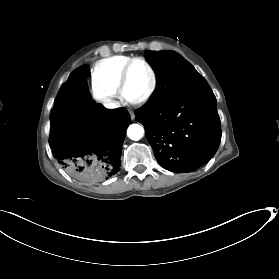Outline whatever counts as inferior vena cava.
Instances as JSON below:
<instances>
[{
  "instance_id": "1",
  "label": "inferior vena cava",
  "mask_w": 279,
  "mask_h": 279,
  "mask_svg": "<svg viewBox=\"0 0 279 279\" xmlns=\"http://www.w3.org/2000/svg\"><path fill=\"white\" fill-rule=\"evenodd\" d=\"M116 104L118 103H114L112 100H109L107 98L104 100V106L107 108H116L118 107Z\"/></svg>"
}]
</instances>
